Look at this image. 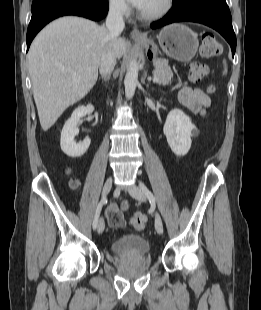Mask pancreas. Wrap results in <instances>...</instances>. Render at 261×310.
<instances>
[{"label":"pancreas","mask_w":261,"mask_h":310,"mask_svg":"<svg viewBox=\"0 0 261 310\" xmlns=\"http://www.w3.org/2000/svg\"><path fill=\"white\" fill-rule=\"evenodd\" d=\"M153 75L159 78V85H168L173 78V72L165 61H155Z\"/></svg>","instance_id":"cf45deb5"}]
</instances>
